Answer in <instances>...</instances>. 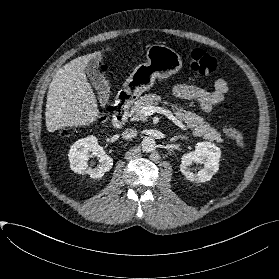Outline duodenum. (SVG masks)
<instances>
[{
	"instance_id": "obj_1",
	"label": "duodenum",
	"mask_w": 279,
	"mask_h": 279,
	"mask_svg": "<svg viewBox=\"0 0 279 279\" xmlns=\"http://www.w3.org/2000/svg\"><path fill=\"white\" fill-rule=\"evenodd\" d=\"M133 100L134 96L131 93L127 91L120 92L116 100L115 113L113 116V123L115 126L120 127L126 122L128 110Z\"/></svg>"
}]
</instances>
